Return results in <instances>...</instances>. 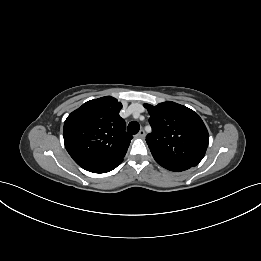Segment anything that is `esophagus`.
<instances>
[{"instance_id": "34e87169", "label": "esophagus", "mask_w": 261, "mask_h": 261, "mask_svg": "<svg viewBox=\"0 0 261 261\" xmlns=\"http://www.w3.org/2000/svg\"><path fill=\"white\" fill-rule=\"evenodd\" d=\"M137 138H144L145 137V131L141 129L139 133L136 135Z\"/></svg>"}]
</instances>
